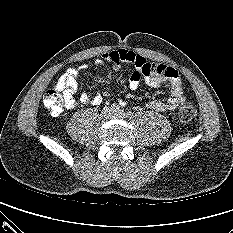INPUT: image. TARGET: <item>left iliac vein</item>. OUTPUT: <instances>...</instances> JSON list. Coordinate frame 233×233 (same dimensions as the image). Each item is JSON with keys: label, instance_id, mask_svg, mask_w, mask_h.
<instances>
[{"label": "left iliac vein", "instance_id": "left-iliac-vein-1", "mask_svg": "<svg viewBox=\"0 0 233 233\" xmlns=\"http://www.w3.org/2000/svg\"><path fill=\"white\" fill-rule=\"evenodd\" d=\"M114 116L118 118H123L125 116V113L120 110L117 113H115Z\"/></svg>", "mask_w": 233, "mask_h": 233}]
</instances>
